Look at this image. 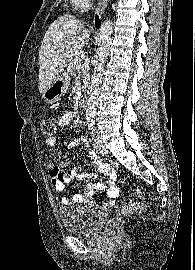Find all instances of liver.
Returning a JSON list of instances; mask_svg holds the SVG:
<instances>
[{
	"mask_svg": "<svg viewBox=\"0 0 195 270\" xmlns=\"http://www.w3.org/2000/svg\"><path fill=\"white\" fill-rule=\"evenodd\" d=\"M90 30L71 15L56 19L44 35L39 52V92L41 94L61 75L69 58L88 42Z\"/></svg>",
	"mask_w": 195,
	"mask_h": 270,
	"instance_id": "obj_1",
	"label": "liver"
}]
</instances>
